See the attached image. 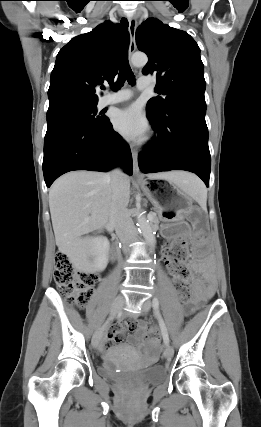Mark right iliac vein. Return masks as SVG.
Wrapping results in <instances>:
<instances>
[{
	"label": "right iliac vein",
	"instance_id": "1",
	"mask_svg": "<svg viewBox=\"0 0 261 427\" xmlns=\"http://www.w3.org/2000/svg\"><path fill=\"white\" fill-rule=\"evenodd\" d=\"M125 303V299L122 295H118L113 304H112V308L110 311V316H109V320L112 319L117 313H119V311L122 309L123 305ZM106 326H103L101 328H99L93 335L92 337V346L94 348H97L99 346V343L101 341V338L103 336V332L105 330Z\"/></svg>",
	"mask_w": 261,
	"mask_h": 427
}]
</instances>
